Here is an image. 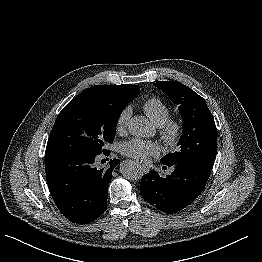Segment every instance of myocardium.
<instances>
[{
  "label": "myocardium",
  "instance_id": "1",
  "mask_svg": "<svg viewBox=\"0 0 262 262\" xmlns=\"http://www.w3.org/2000/svg\"><path fill=\"white\" fill-rule=\"evenodd\" d=\"M160 136L168 147H175L181 140L183 134V124L178 119H168L160 126Z\"/></svg>",
  "mask_w": 262,
  "mask_h": 262
}]
</instances>
